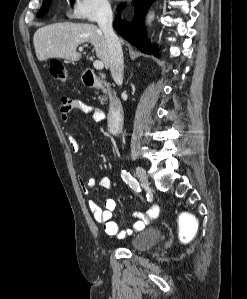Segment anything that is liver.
Instances as JSON below:
<instances>
[{"instance_id": "obj_1", "label": "liver", "mask_w": 247, "mask_h": 299, "mask_svg": "<svg viewBox=\"0 0 247 299\" xmlns=\"http://www.w3.org/2000/svg\"><path fill=\"white\" fill-rule=\"evenodd\" d=\"M33 42L39 61L60 58L73 62L81 57L77 47L88 42L94 46L96 56L103 62L105 68L110 67L107 40L94 24L64 22L47 25L35 32Z\"/></svg>"}]
</instances>
